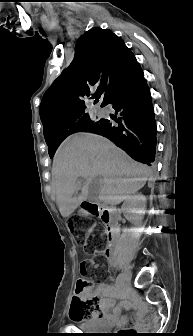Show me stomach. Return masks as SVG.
<instances>
[{
  "mask_svg": "<svg viewBox=\"0 0 193 336\" xmlns=\"http://www.w3.org/2000/svg\"><path fill=\"white\" fill-rule=\"evenodd\" d=\"M79 213H80L81 215H84V216L88 215V212H87L86 210H83V209H81V210L79 211Z\"/></svg>",
  "mask_w": 193,
  "mask_h": 336,
  "instance_id": "stomach-1",
  "label": "stomach"
}]
</instances>
